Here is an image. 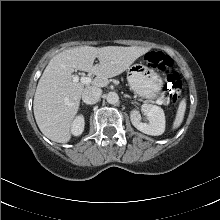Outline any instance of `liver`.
Here are the masks:
<instances>
[{
  "instance_id": "liver-1",
  "label": "liver",
  "mask_w": 220,
  "mask_h": 220,
  "mask_svg": "<svg viewBox=\"0 0 220 220\" xmlns=\"http://www.w3.org/2000/svg\"><path fill=\"white\" fill-rule=\"evenodd\" d=\"M149 47L81 46L55 55L39 79L33 110L40 131L50 140L67 143L79 110L84 84L73 82L75 70L90 72L96 77L87 87H106L108 78L122 74ZM98 58L99 63L93 64ZM86 87V88H87Z\"/></svg>"
}]
</instances>
